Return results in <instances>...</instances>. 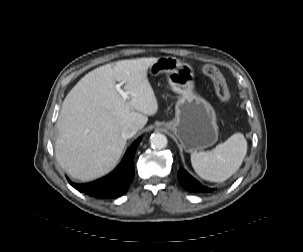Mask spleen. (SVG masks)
I'll return each mask as SVG.
<instances>
[{
	"instance_id": "obj_1",
	"label": "spleen",
	"mask_w": 303,
	"mask_h": 252,
	"mask_svg": "<svg viewBox=\"0 0 303 252\" xmlns=\"http://www.w3.org/2000/svg\"><path fill=\"white\" fill-rule=\"evenodd\" d=\"M247 153V141L242 133H235L212 151L193 152L191 163L204 180L224 182L240 168Z\"/></svg>"
}]
</instances>
